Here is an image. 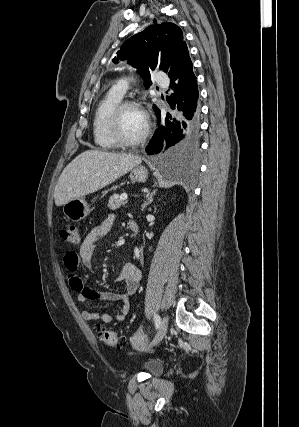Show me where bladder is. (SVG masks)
Listing matches in <instances>:
<instances>
[{
	"instance_id": "31cf9c89",
	"label": "bladder",
	"mask_w": 299,
	"mask_h": 427,
	"mask_svg": "<svg viewBox=\"0 0 299 427\" xmlns=\"http://www.w3.org/2000/svg\"><path fill=\"white\" fill-rule=\"evenodd\" d=\"M143 369L150 376H157L163 372L164 366L161 362L151 360L144 363Z\"/></svg>"
}]
</instances>
